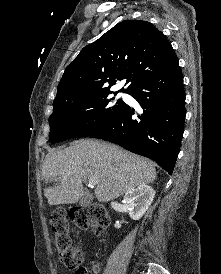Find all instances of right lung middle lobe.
<instances>
[{"instance_id": "1", "label": "right lung middle lobe", "mask_w": 221, "mask_h": 274, "mask_svg": "<svg viewBox=\"0 0 221 274\" xmlns=\"http://www.w3.org/2000/svg\"><path fill=\"white\" fill-rule=\"evenodd\" d=\"M124 105L121 99L115 101L110 93L53 104L54 110L49 118V141L53 143L89 136L110 123Z\"/></svg>"}]
</instances>
